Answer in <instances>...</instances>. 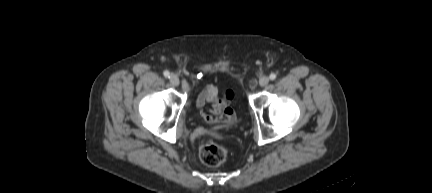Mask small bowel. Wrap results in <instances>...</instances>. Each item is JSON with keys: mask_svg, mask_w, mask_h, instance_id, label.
<instances>
[{"mask_svg": "<svg viewBox=\"0 0 432 193\" xmlns=\"http://www.w3.org/2000/svg\"><path fill=\"white\" fill-rule=\"evenodd\" d=\"M207 104H211L212 108L202 111L206 123L219 126L230 124L235 120L234 110L219 99L217 88L214 85H207L196 99V105L200 109H204Z\"/></svg>", "mask_w": 432, "mask_h": 193, "instance_id": "obj_1", "label": "small bowel"}]
</instances>
